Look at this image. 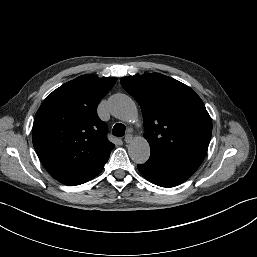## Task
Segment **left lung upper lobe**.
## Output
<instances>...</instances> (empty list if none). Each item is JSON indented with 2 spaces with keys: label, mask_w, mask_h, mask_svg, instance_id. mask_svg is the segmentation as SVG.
Masks as SVG:
<instances>
[{
  "label": "left lung upper lobe",
  "mask_w": 257,
  "mask_h": 257,
  "mask_svg": "<svg viewBox=\"0 0 257 257\" xmlns=\"http://www.w3.org/2000/svg\"><path fill=\"white\" fill-rule=\"evenodd\" d=\"M120 83L141 107L151 153L205 157L212 121L190 87L159 73L123 77Z\"/></svg>",
  "instance_id": "obj_1"
}]
</instances>
